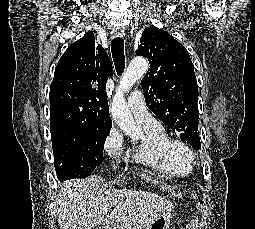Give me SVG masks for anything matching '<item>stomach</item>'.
<instances>
[{
	"instance_id": "obj_1",
	"label": "stomach",
	"mask_w": 255,
	"mask_h": 229,
	"mask_svg": "<svg viewBox=\"0 0 255 229\" xmlns=\"http://www.w3.org/2000/svg\"><path fill=\"white\" fill-rule=\"evenodd\" d=\"M171 212V211H170ZM164 212L159 214L153 221L144 226V229H169L171 213ZM102 229H125L122 226L103 224Z\"/></svg>"
}]
</instances>
